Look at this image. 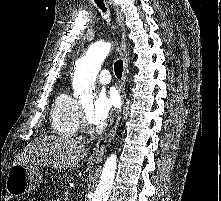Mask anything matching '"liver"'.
<instances>
[{
  "mask_svg": "<svg viewBox=\"0 0 221 201\" xmlns=\"http://www.w3.org/2000/svg\"><path fill=\"white\" fill-rule=\"evenodd\" d=\"M88 154L78 140L49 135L28 144L14 164H35L43 167L73 168Z\"/></svg>",
  "mask_w": 221,
  "mask_h": 201,
  "instance_id": "1",
  "label": "liver"
}]
</instances>
